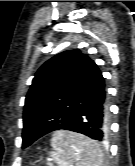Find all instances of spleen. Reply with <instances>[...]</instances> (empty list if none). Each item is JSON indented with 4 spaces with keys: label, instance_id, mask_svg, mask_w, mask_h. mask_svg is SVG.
<instances>
[{
    "label": "spleen",
    "instance_id": "obj_1",
    "mask_svg": "<svg viewBox=\"0 0 135 166\" xmlns=\"http://www.w3.org/2000/svg\"><path fill=\"white\" fill-rule=\"evenodd\" d=\"M50 154L58 166H103V151L97 141L82 134L58 130L53 133Z\"/></svg>",
    "mask_w": 135,
    "mask_h": 166
}]
</instances>
